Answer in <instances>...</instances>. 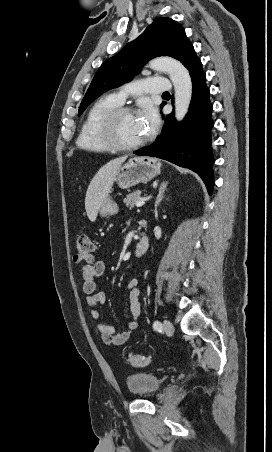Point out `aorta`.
<instances>
[{
    "label": "aorta",
    "instance_id": "aorta-1",
    "mask_svg": "<svg viewBox=\"0 0 272 452\" xmlns=\"http://www.w3.org/2000/svg\"><path fill=\"white\" fill-rule=\"evenodd\" d=\"M148 66L169 74L175 91V117L181 121L188 112L192 98V81L188 70L180 61L170 57L156 58Z\"/></svg>",
    "mask_w": 272,
    "mask_h": 452
}]
</instances>
